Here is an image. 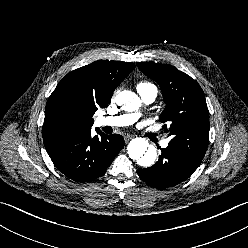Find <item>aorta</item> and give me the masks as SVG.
<instances>
[{"mask_svg":"<svg viewBox=\"0 0 248 248\" xmlns=\"http://www.w3.org/2000/svg\"><path fill=\"white\" fill-rule=\"evenodd\" d=\"M116 103L123 106L126 111L138 110L141 106L140 98L131 91H120L115 97ZM128 155L131 159L136 160L140 166L149 167L156 160V149L150 147L145 138H135L128 144Z\"/></svg>","mask_w":248,"mask_h":248,"instance_id":"aorta-1","label":"aorta"}]
</instances>
